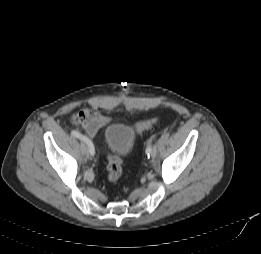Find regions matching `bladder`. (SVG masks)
I'll use <instances>...</instances> for the list:
<instances>
[{
    "mask_svg": "<svg viewBox=\"0 0 261 254\" xmlns=\"http://www.w3.org/2000/svg\"><path fill=\"white\" fill-rule=\"evenodd\" d=\"M107 148L119 157L129 154L135 144L134 130L122 123H114L107 127L104 135Z\"/></svg>",
    "mask_w": 261,
    "mask_h": 254,
    "instance_id": "31cf9c89",
    "label": "bladder"
}]
</instances>
